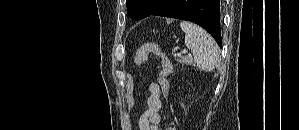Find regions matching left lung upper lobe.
I'll list each match as a JSON object with an SVG mask.
<instances>
[{"instance_id":"left-lung-upper-lobe-1","label":"left lung upper lobe","mask_w":299,"mask_h":130,"mask_svg":"<svg viewBox=\"0 0 299 130\" xmlns=\"http://www.w3.org/2000/svg\"><path fill=\"white\" fill-rule=\"evenodd\" d=\"M127 14L134 20H140L150 6V0H127Z\"/></svg>"}]
</instances>
